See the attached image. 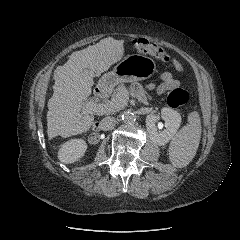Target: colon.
<instances>
[{
    "label": "colon",
    "mask_w": 240,
    "mask_h": 240,
    "mask_svg": "<svg viewBox=\"0 0 240 240\" xmlns=\"http://www.w3.org/2000/svg\"><path fill=\"white\" fill-rule=\"evenodd\" d=\"M132 45L138 52L155 56L163 62L167 63L171 60L170 55L166 53L161 46L150 42L147 39H134ZM188 98L187 91L181 88H174L167 96V104L173 108L180 107L188 101Z\"/></svg>",
    "instance_id": "obj_1"
}]
</instances>
